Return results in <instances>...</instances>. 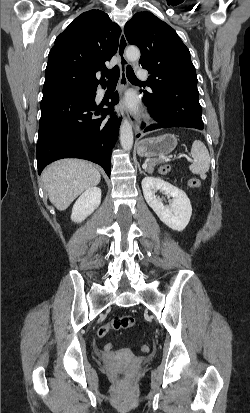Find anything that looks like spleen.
<instances>
[{"instance_id": "spleen-1", "label": "spleen", "mask_w": 250, "mask_h": 413, "mask_svg": "<svg viewBox=\"0 0 250 413\" xmlns=\"http://www.w3.org/2000/svg\"><path fill=\"white\" fill-rule=\"evenodd\" d=\"M192 164L189 166L193 174H205L210 167V156L205 144L200 140H195L191 148Z\"/></svg>"}]
</instances>
